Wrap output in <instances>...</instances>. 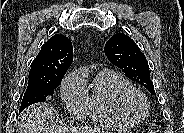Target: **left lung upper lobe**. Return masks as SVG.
I'll return each instance as SVG.
<instances>
[{"label": "left lung upper lobe", "mask_w": 184, "mask_h": 133, "mask_svg": "<svg viewBox=\"0 0 184 133\" xmlns=\"http://www.w3.org/2000/svg\"><path fill=\"white\" fill-rule=\"evenodd\" d=\"M104 51L109 61L119 67L129 79L140 83L155 95L146 57L133 39L123 33L115 34L105 44Z\"/></svg>", "instance_id": "1"}]
</instances>
